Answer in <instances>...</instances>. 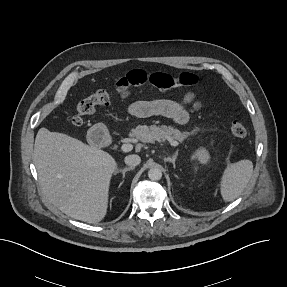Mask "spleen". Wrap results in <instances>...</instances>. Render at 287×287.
I'll list each match as a JSON object with an SVG mask.
<instances>
[{
    "label": "spleen",
    "instance_id": "3e777b00",
    "mask_svg": "<svg viewBox=\"0 0 287 287\" xmlns=\"http://www.w3.org/2000/svg\"><path fill=\"white\" fill-rule=\"evenodd\" d=\"M252 174L253 163L250 160H240L227 165L220 181L223 200L230 202L238 198L249 183Z\"/></svg>",
    "mask_w": 287,
    "mask_h": 287
}]
</instances>
